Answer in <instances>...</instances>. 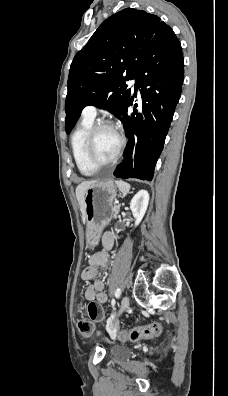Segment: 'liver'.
<instances>
[{
  "label": "liver",
  "mask_w": 228,
  "mask_h": 396,
  "mask_svg": "<svg viewBox=\"0 0 228 396\" xmlns=\"http://www.w3.org/2000/svg\"><path fill=\"white\" fill-rule=\"evenodd\" d=\"M95 181H85L80 183L77 187H76V198L78 200V203L80 205V211L82 213V221L83 223H85L86 220V214H85V205H84V196H85V191L88 188V186L92 183H94Z\"/></svg>",
  "instance_id": "obj_1"
}]
</instances>
